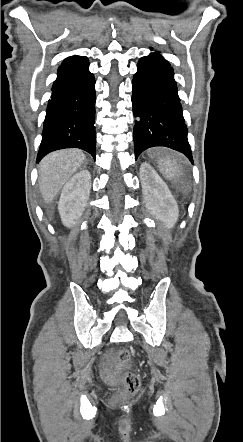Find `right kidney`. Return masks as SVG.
I'll use <instances>...</instances> for the list:
<instances>
[{
	"label": "right kidney",
	"mask_w": 243,
	"mask_h": 442,
	"mask_svg": "<svg viewBox=\"0 0 243 442\" xmlns=\"http://www.w3.org/2000/svg\"><path fill=\"white\" fill-rule=\"evenodd\" d=\"M91 190V175L88 170L76 173L63 187L58 210L62 223L72 227L87 206Z\"/></svg>",
	"instance_id": "ca27d5eb"
}]
</instances>
